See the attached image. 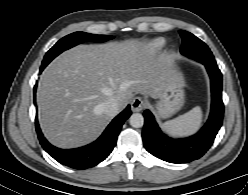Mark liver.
<instances>
[{"label": "liver", "mask_w": 248, "mask_h": 195, "mask_svg": "<svg viewBox=\"0 0 248 195\" xmlns=\"http://www.w3.org/2000/svg\"><path fill=\"white\" fill-rule=\"evenodd\" d=\"M174 74L169 55H156L138 39L72 48L54 59L40 77L42 131L60 148L86 145L113 118L101 110L103 102L115 98L121 111L134 92L158 98Z\"/></svg>", "instance_id": "1"}]
</instances>
